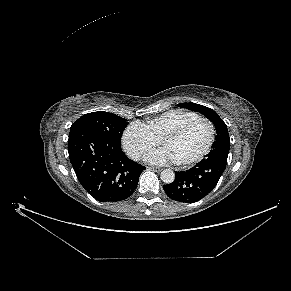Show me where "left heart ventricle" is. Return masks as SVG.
<instances>
[{
  "mask_svg": "<svg viewBox=\"0 0 291 291\" xmlns=\"http://www.w3.org/2000/svg\"><path fill=\"white\" fill-rule=\"evenodd\" d=\"M209 138V128L197 123L178 138L169 139L164 146L171 150L177 161L190 160L205 147Z\"/></svg>",
  "mask_w": 291,
  "mask_h": 291,
  "instance_id": "b2bd125f",
  "label": "left heart ventricle"
}]
</instances>
